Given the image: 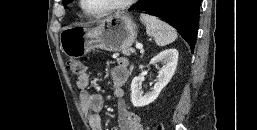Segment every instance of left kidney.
<instances>
[{
    "label": "left kidney",
    "instance_id": "1",
    "mask_svg": "<svg viewBox=\"0 0 257 130\" xmlns=\"http://www.w3.org/2000/svg\"><path fill=\"white\" fill-rule=\"evenodd\" d=\"M163 66L158 71V80L150 92L143 95L138 77H134L131 83V102L135 107H142L152 103L159 96L160 92L170 82L175 73L178 62V51L170 48L160 52L150 63Z\"/></svg>",
    "mask_w": 257,
    "mask_h": 130
}]
</instances>
